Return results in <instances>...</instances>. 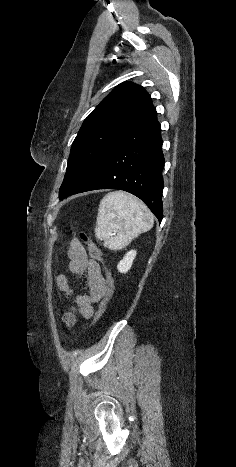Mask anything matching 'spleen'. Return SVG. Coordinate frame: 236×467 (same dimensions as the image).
Masks as SVG:
<instances>
[{"instance_id": "1", "label": "spleen", "mask_w": 236, "mask_h": 467, "mask_svg": "<svg viewBox=\"0 0 236 467\" xmlns=\"http://www.w3.org/2000/svg\"><path fill=\"white\" fill-rule=\"evenodd\" d=\"M153 223V214L143 202L124 192H110L99 204L95 235L105 247L120 250Z\"/></svg>"}]
</instances>
